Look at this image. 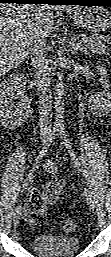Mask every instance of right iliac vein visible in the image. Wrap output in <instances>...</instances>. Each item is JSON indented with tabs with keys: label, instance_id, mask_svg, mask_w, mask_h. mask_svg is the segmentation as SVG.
<instances>
[{
	"label": "right iliac vein",
	"instance_id": "right-iliac-vein-1",
	"mask_svg": "<svg viewBox=\"0 0 111 257\" xmlns=\"http://www.w3.org/2000/svg\"><path fill=\"white\" fill-rule=\"evenodd\" d=\"M46 141V136H43L42 138V142L44 143ZM22 214V207L21 206H17L15 208L14 214H13V224L14 226H16L20 220Z\"/></svg>",
	"mask_w": 111,
	"mask_h": 257
}]
</instances>
